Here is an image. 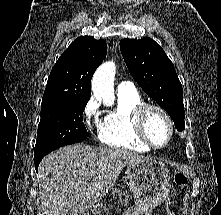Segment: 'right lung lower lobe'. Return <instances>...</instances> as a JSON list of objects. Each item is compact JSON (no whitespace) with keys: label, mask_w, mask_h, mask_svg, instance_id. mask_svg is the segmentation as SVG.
I'll return each instance as SVG.
<instances>
[{"label":"right lung lower lobe","mask_w":221,"mask_h":215,"mask_svg":"<svg viewBox=\"0 0 221 215\" xmlns=\"http://www.w3.org/2000/svg\"><path fill=\"white\" fill-rule=\"evenodd\" d=\"M44 156H45V155L38 156V157H34V158H35V169H36V170L38 169V165H39L40 161L42 160V158H43Z\"/></svg>","instance_id":"98d812e1"}]
</instances>
